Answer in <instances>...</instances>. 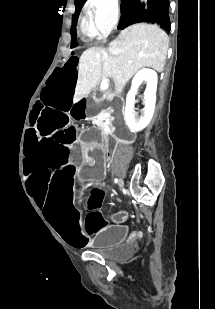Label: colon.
Wrapping results in <instances>:
<instances>
[{
	"label": "colon",
	"instance_id": "colon-1",
	"mask_svg": "<svg viewBox=\"0 0 215 309\" xmlns=\"http://www.w3.org/2000/svg\"><path fill=\"white\" fill-rule=\"evenodd\" d=\"M100 219V215L99 214H94L91 218L92 222L95 223L97 221H99Z\"/></svg>",
	"mask_w": 215,
	"mask_h": 309
}]
</instances>
